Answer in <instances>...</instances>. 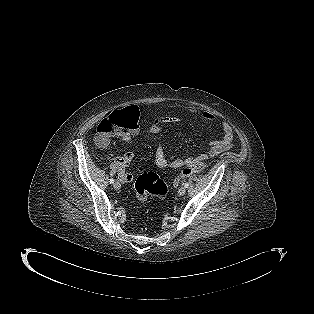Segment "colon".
<instances>
[{
    "label": "colon",
    "mask_w": 314,
    "mask_h": 314,
    "mask_svg": "<svg viewBox=\"0 0 314 314\" xmlns=\"http://www.w3.org/2000/svg\"><path fill=\"white\" fill-rule=\"evenodd\" d=\"M139 112L135 106H128L111 113L98 126L96 138L104 142L113 133H129L139 127ZM206 160H200L185 167L177 180L187 178L206 166ZM135 193L138 200H146L150 196L164 198L168 193L166 183L154 172L141 169L135 181Z\"/></svg>",
    "instance_id": "obj_1"
}]
</instances>
